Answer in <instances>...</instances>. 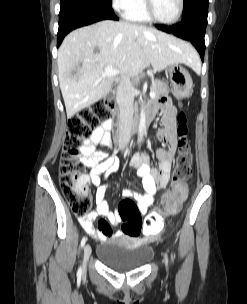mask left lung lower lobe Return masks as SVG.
<instances>
[{
  "label": "left lung lower lobe",
  "instance_id": "1",
  "mask_svg": "<svg viewBox=\"0 0 247 304\" xmlns=\"http://www.w3.org/2000/svg\"><path fill=\"white\" fill-rule=\"evenodd\" d=\"M208 3V0H206L195 4L192 9L182 17L178 25L172 27L156 25L159 30L190 41L198 50L202 61L205 52L204 36L207 26Z\"/></svg>",
  "mask_w": 247,
  "mask_h": 304
}]
</instances>
